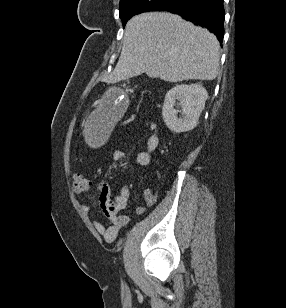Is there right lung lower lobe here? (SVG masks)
<instances>
[{
    "instance_id": "1",
    "label": "right lung lower lobe",
    "mask_w": 286,
    "mask_h": 308,
    "mask_svg": "<svg viewBox=\"0 0 286 308\" xmlns=\"http://www.w3.org/2000/svg\"><path fill=\"white\" fill-rule=\"evenodd\" d=\"M153 11H167L210 29L222 43L224 36L223 0H168Z\"/></svg>"
}]
</instances>
